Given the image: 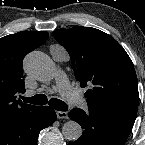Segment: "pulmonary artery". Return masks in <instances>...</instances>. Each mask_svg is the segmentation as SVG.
<instances>
[{
    "label": "pulmonary artery",
    "instance_id": "1",
    "mask_svg": "<svg viewBox=\"0 0 145 145\" xmlns=\"http://www.w3.org/2000/svg\"><path fill=\"white\" fill-rule=\"evenodd\" d=\"M57 89L60 94L65 97L69 103L84 110L88 109V104L85 98L70 84L67 76L62 70L56 74Z\"/></svg>",
    "mask_w": 145,
    "mask_h": 145
}]
</instances>
